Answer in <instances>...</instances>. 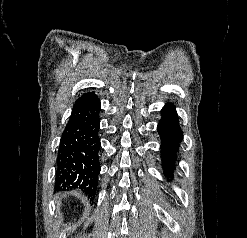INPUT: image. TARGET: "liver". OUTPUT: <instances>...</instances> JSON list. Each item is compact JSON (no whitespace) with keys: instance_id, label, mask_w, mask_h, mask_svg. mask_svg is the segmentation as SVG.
I'll return each instance as SVG.
<instances>
[{"instance_id":"1","label":"liver","mask_w":247,"mask_h":238,"mask_svg":"<svg viewBox=\"0 0 247 238\" xmlns=\"http://www.w3.org/2000/svg\"><path fill=\"white\" fill-rule=\"evenodd\" d=\"M60 203H61L60 200H58V201H57L58 206L60 205Z\"/></svg>"}]
</instances>
